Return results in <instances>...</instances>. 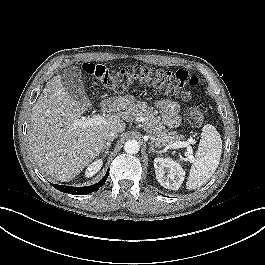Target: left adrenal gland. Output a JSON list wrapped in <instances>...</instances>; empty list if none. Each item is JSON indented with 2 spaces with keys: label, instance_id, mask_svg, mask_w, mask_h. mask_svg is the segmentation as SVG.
<instances>
[{
  "label": "left adrenal gland",
  "instance_id": "a2214340",
  "mask_svg": "<svg viewBox=\"0 0 265 265\" xmlns=\"http://www.w3.org/2000/svg\"><path fill=\"white\" fill-rule=\"evenodd\" d=\"M149 146H150V149H149V153H154V152H157V153H160L159 151H157L155 148H154V145L152 142L148 143Z\"/></svg>",
  "mask_w": 265,
  "mask_h": 265
}]
</instances>
